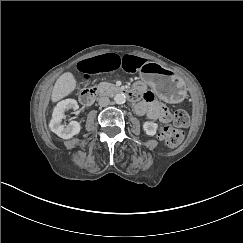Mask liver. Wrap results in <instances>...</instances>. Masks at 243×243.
Here are the masks:
<instances>
[{"mask_svg":"<svg viewBox=\"0 0 243 243\" xmlns=\"http://www.w3.org/2000/svg\"><path fill=\"white\" fill-rule=\"evenodd\" d=\"M77 88V80L71 71L61 74L51 92V103L55 104L71 95Z\"/></svg>","mask_w":243,"mask_h":243,"instance_id":"1","label":"liver"}]
</instances>
